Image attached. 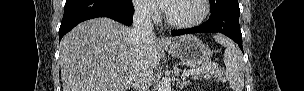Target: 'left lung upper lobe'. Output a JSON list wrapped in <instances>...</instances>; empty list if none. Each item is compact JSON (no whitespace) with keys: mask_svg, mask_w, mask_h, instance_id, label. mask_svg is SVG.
<instances>
[{"mask_svg":"<svg viewBox=\"0 0 304 91\" xmlns=\"http://www.w3.org/2000/svg\"><path fill=\"white\" fill-rule=\"evenodd\" d=\"M229 1H233V0H209L211 12L217 10L218 8H220L222 5H224Z\"/></svg>","mask_w":304,"mask_h":91,"instance_id":"left-lung-upper-lobe-1","label":"left lung upper lobe"}]
</instances>
